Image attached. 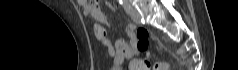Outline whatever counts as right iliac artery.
<instances>
[{
    "label": "right iliac artery",
    "instance_id": "82829eb1",
    "mask_svg": "<svg viewBox=\"0 0 238 70\" xmlns=\"http://www.w3.org/2000/svg\"><path fill=\"white\" fill-rule=\"evenodd\" d=\"M119 3H120V4H123V1H122V0H120V1H119Z\"/></svg>",
    "mask_w": 238,
    "mask_h": 70
}]
</instances>
